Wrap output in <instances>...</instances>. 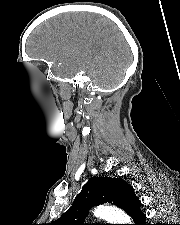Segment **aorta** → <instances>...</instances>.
Masks as SVG:
<instances>
[{
	"label": "aorta",
	"mask_w": 180,
	"mask_h": 225,
	"mask_svg": "<svg viewBox=\"0 0 180 225\" xmlns=\"http://www.w3.org/2000/svg\"><path fill=\"white\" fill-rule=\"evenodd\" d=\"M93 213L95 217L104 219L110 224H131L130 217L114 206H99Z\"/></svg>",
	"instance_id": "aorta-1"
}]
</instances>
